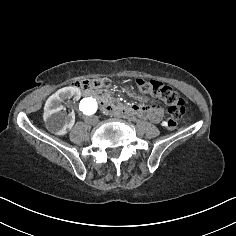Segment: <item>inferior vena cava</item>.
Returning a JSON list of instances; mask_svg holds the SVG:
<instances>
[{
  "instance_id": "602c4592",
  "label": "inferior vena cava",
  "mask_w": 236,
  "mask_h": 236,
  "mask_svg": "<svg viewBox=\"0 0 236 236\" xmlns=\"http://www.w3.org/2000/svg\"><path fill=\"white\" fill-rule=\"evenodd\" d=\"M84 122L85 123H88V124H91V125H93V126H96V125H98V123H99V117L98 116H95V117H93V118H85L84 119Z\"/></svg>"
}]
</instances>
